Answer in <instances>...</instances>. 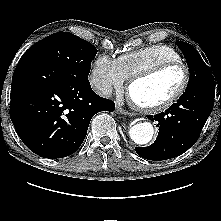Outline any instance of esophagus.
Returning a JSON list of instances; mask_svg holds the SVG:
<instances>
[{
	"label": "esophagus",
	"mask_w": 221,
	"mask_h": 221,
	"mask_svg": "<svg viewBox=\"0 0 221 221\" xmlns=\"http://www.w3.org/2000/svg\"><path fill=\"white\" fill-rule=\"evenodd\" d=\"M116 112L118 114H124V115L130 114L127 110L122 108L119 104L116 105Z\"/></svg>",
	"instance_id": "esophagus-1"
}]
</instances>
